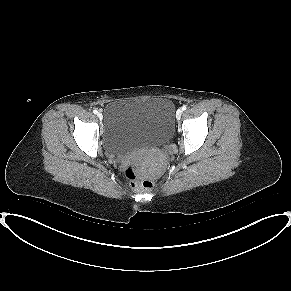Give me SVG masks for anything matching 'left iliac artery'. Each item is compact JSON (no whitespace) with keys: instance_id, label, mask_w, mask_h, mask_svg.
Masks as SVG:
<instances>
[{"instance_id":"1","label":"left iliac artery","mask_w":291,"mask_h":291,"mask_svg":"<svg viewBox=\"0 0 291 291\" xmlns=\"http://www.w3.org/2000/svg\"><path fill=\"white\" fill-rule=\"evenodd\" d=\"M186 109H187V107L184 105V106L182 107V110L185 111Z\"/></svg>"}]
</instances>
